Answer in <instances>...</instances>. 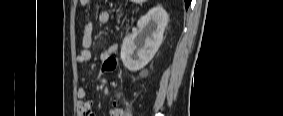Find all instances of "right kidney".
I'll use <instances>...</instances> for the list:
<instances>
[{"instance_id":"1","label":"right kidney","mask_w":283,"mask_h":116,"mask_svg":"<svg viewBox=\"0 0 283 116\" xmlns=\"http://www.w3.org/2000/svg\"><path fill=\"white\" fill-rule=\"evenodd\" d=\"M167 23V12L161 6L152 8L138 20L137 28L121 47V60L129 71H138L151 61L162 44Z\"/></svg>"}]
</instances>
